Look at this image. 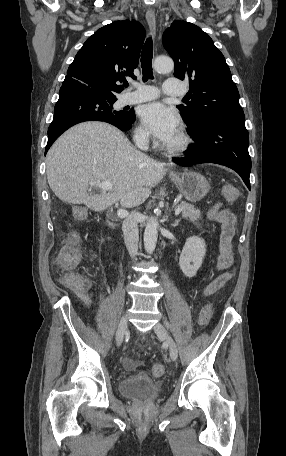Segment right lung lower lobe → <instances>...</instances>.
Returning <instances> with one entry per match:
<instances>
[{"label":"right lung lower lobe","instance_id":"obj_1","mask_svg":"<svg viewBox=\"0 0 286 456\" xmlns=\"http://www.w3.org/2000/svg\"><path fill=\"white\" fill-rule=\"evenodd\" d=\"M109 100L80 84H63L54 108V118L48 129L45 154L65 130L80 122L104 121L122 131L129 130L135 121L134 111L131 109L121 117H110L104 112Z\"/></svg>","mask_w":286,"mask_h":456}]
</instances>
